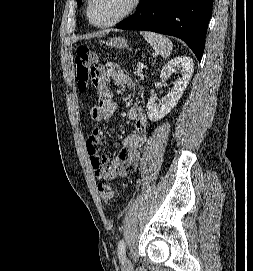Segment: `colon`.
<instances>
[{
	"mask_svg": "<svg viewBox=\"0 0 253 271\" xmlns=\"http://www.w3.org/2000/svg\"><path fill=\"white\" fill-rule=\"evenodd\" d=\"M98 56L86 46H80L75 55V71L77 86L80 91L86 90L90 81L97 82L98 77ZM101 198L106 203H112L115 199L116 192L114 188L106 182L98 185Z\"/></svg>",
	"mask_w": 253,
	"mask_h": 271,
	"instance_id": "5ec220e1",
	"label": "colon"
}]
</instances>
